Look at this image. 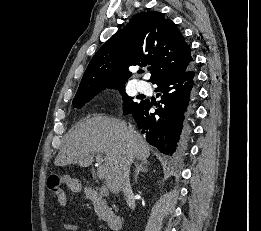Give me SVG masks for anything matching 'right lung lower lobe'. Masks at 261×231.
<instances>
[{"instance_id": "right-lung-lower-lobe-1", "label": "right lung lower lobe", "mask_w": 261, "mask_h": 231, "mask_svg": "<svg viewBox=\"0 0 261 231\" xmlns=\"http://www.w3.org/2000/svg\"><path fill=\"white\" fill-rule=\"evenodd\" d=\"M195 81L193 66L183 73L162 78L154 83L158 86L155 91L161 96L155 113L149 112L152 103L148 100L141 101L137 108L128 113L145 134L147 142L163 154L172 155L181 146Z\"/></svg>"}]
</instances>
